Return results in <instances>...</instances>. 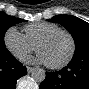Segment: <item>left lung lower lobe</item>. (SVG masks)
Returning a JSON list of instances; mask_svg holds the SVG:
<instances>
[{
  "label": "left lung lower lobe",
  "mask_w": 89,
  "mask_h": 89,
  "mask_svg": "<svg viewBox=\"0 0 89 89\" xmlns=\"http://www.w3.org/2000/svg\"><path fill=\"white\" fill-rule=\"evenodd\" d=\"M40 89H89V51L74 55L62 70L46 73Z\"/></svg>",
  "instance_id": "obj_1"
}]
</instances>
